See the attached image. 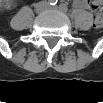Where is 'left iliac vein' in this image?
<instances>
[{
    "label": "left iliac vein",
    "instance_id": "4c4485c4",
    "mask_svg": "<svg viewBox=\"0 0 103 103\" xmlns=\"http://www.w3.org/2000/svg\"><path fill=\"white\" fill-rule=\"evenodd\" d=\"M48 9H54V10H56V9H59V8L57 6H49Z\"/></svg>",
    "mask_w": 103,
    "mask_h": 103
}]
</instances>
